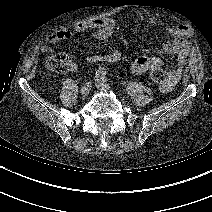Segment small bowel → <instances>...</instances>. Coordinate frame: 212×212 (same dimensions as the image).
Segmentation results:
<instances>
[{
  "instance_id": "c3829d8e",
  "label": "small bowel",
  "mask_w": 212,
  "mask_h": 212,
  "mask_svg": "<svg viewBox=\"0 0 212 212\" xmlns=\"http://www.w3.org/2000/svg\"><path fill=\"white\" fill-rule=\"evenodd\" d=\"M115 22L110 17H97L79 22L74 30L78 33L93 31V37L96 40L104 41L109 39L114 32ZM186 29L184 24H178L172 32V37L162 43V49L169 55L176 56L177 65L172 68L167 75L164 83L160 84L163 92H170L180 79L181 73L186 65L190 48L186 40L181 37L182 31ZM73 36L70 30H60L52 33L48 39V44L42 45L41 50L45 53L53 51V45L59 41L67 40ZM122 54L119 50H113L104 55H90L86 58L87 63H113L121 60ZM162 60L159 57H139L131 65V71L134 74H142L156 66H161Z\"/></svg>"
}]
</instances>
